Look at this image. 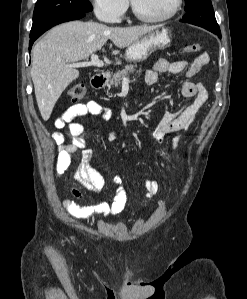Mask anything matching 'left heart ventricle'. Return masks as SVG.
Returning a JSON list of instances; mask_svg holds the SVG:
<instances>
[{"label": "left heart ventricle", "instance_id": "1", "mask_svg": "<svg viewBox=\"0 0 247 299\" xmlns=\"http://www.w3.org/2000/svg\"><path fill=\"white\" fill-rule=\"evenodd\" d=\"M141 13L147 16H161L168 13L174 0H134Z\"/></svg>", "mask_w": 247, "mask_h": 299}]
</instances>
